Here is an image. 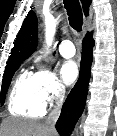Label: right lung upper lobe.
Returning a JSON list of instances; mask_svg holds the SVG:
<instances>
[{
  "label": "right lung upper lobe",
  "instance_id": "cb5924a9",
  "mask_svg": "<svg viewBox=\"0 0 117 136\" xmlns=\"http://www.w3.org/2000/svg\"><path fill=\"white\" fill-rule=\"evenodd\" d=\"M85 16L89 14L91 0H81ZM37 17L30 11L18 33L8 61L27 59L37 46Z\"/></svg>",
  "mask_w": 117,
  "mask_h": 136
}]
</instances>
